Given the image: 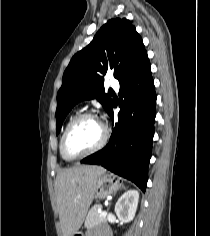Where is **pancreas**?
Wrapping results in <instances>:
<instances>
[{
	"label": "pancreas",
	"instance_id": "1",
	"mask_svg": "<svg viewBox=\"0 0 210 236\" xmlns=\"http://www.w3.org/2000/svg\"><path fill=\"white\" fill-rule=\"evenodd\" d=\"M101 204H95L88 212L86 219H85V227L91 228L95 225H98L100 223L106 222V217H101L100 213L98 212V209H101Z\"/></svg>",
	"mask_w": 210,
	"mask_h": 236
}]
</instances>
